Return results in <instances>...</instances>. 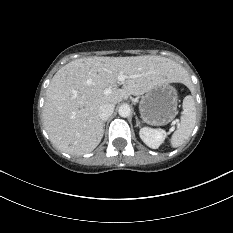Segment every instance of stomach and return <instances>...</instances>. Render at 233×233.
Wrapping results in <instances>:
<instances>
[{
  "label": "stomach",
  "mask_w": 233,
  "mask_h": 233,
  "mask_svg": "<svg viewBox=\"0 0 233 233\" xmlns=\"http://www.w3.org/2000/svg\"><path fill=\"white\" fill-rule=\"evenodd\" d=\"M177 92L169 83L146 92L139 105L141 118L150 125H165L177 114Z\"/></svg>",
  "instance_id": "obj_1"
}]
</instances>
